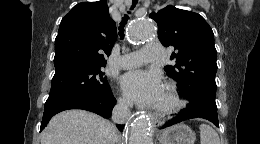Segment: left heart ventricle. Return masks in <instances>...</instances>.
I'll return each mask as SVG.
<instances>
[{
  "mask_svg": "<svg viewBox=\"0 0 260 144\" xmlns=\"http://www.w3.org/2000/svg\"><path fill=\"white\" fill-rule=\"evenodd\" d=\"M167 103H168V97H167L166 90L164 89L158 103L156 104V106L161 107V106L166 105Z\"/></svg>",
  "mask_w": 260,
  "mask_h": 144,
  "instance_id": "obj_1",
  "label": "left heart ventricle"
}]
</instances>
